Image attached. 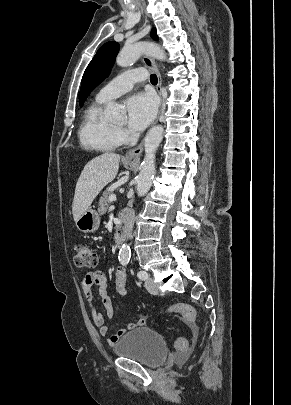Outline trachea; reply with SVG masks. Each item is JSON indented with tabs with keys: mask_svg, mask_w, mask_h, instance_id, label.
<instances>
[{
	"mask_svg": "<svg viewBox=\"0 0 291 405\" xmlns=\"http://www.w3.org/2000/svg\"><path fill=\"white\" fill-rule=\"evenodd\" d=\"M150 82H151L152 84H154V85L157 84L158 80H157V76H156L155 74H152V75L150 76Z\"/></svg>",
	"mask_w": 291,
	"mask_h": 405,
	"instance_id": "obj_1",
	"label": "trachea"
}]
</instances>
